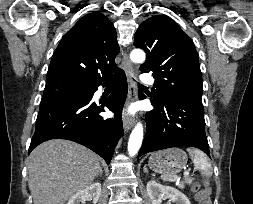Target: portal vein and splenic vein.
<instances>
[{"label": "portal vein and splenic vein", "mask_w": 253, "mask_h": 204, "mask_svg": "<svg viewBox=\"0 0 253 204\" xmlns=\"http://www.w3.org/2000/svg\"><path fill=\"white\" fill-rule=\"evenodd\" d=\"M184 175H185V176H188V175H189V171H185V172H184Z\"/></svg>", "instance_id": "1"}]
</instances>
